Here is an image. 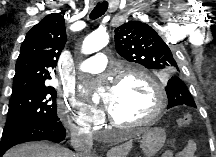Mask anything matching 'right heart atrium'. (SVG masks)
Wrapping results in <instances>:
<instances>
[{
	"instance_id": "obj_1",
	"label": "right heart atrium",
	"mask_w": 216,
	"mask_h": 157,
	"mask_svg": "<svg viewBox=\"0 0 216 157\" xmlns=\"http://www.w3.org/2000/svg\"><path fill=\"white\" fill-rule=\"evenodd\" d=\"M60 119L73 131L92 133L103 123V115L73 97L61 100L57 107Z\"/></svg>"
}]
</instances>
